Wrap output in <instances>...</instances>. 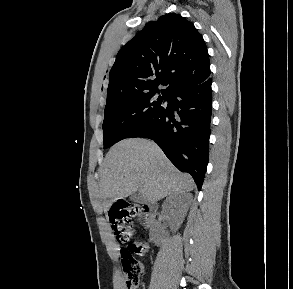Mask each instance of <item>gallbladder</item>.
<instances>
[{
  "label": "gallbladder",
  "mask_w": 293,
  "mask_h": 289,
  "mask_svg": "<svg viewBox=\"0 0 293 289\" xmlns=\"http://www.w3.org/2000/svg\"><path fill=\"white\" fill-rule=\"evenodd\" d=\"M130 200L136 202V203H142L143 202V198L141 197V195L139 193H134L130 196Z\"/></svg>",
  "instance_id": "1"
}]
</instances>
